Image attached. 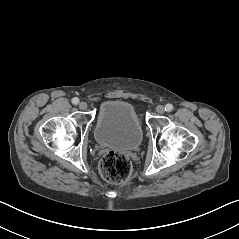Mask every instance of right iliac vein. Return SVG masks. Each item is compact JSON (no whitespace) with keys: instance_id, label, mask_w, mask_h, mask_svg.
Returning a JSON list of instances; mask_svg holds the SVG:
<instances>
[{"instance_id":"63e3f726","label":"right iliac vein","mask_w":239,"mask_h":239,"mask_svg":"<svg viewBox=\"0 0 239 239\" xmlns=\"http://www.w3.org/2000/svg\"><path fill=\"white\" fill-rule=\"evenodd\" d=\"M79 108H80L81 110L87 109V103H86V102H80V103H79Z\"/></svg>"}]
</instances>
